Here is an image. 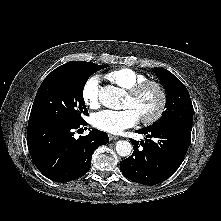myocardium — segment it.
Instances as JSON below:
<instances>
[{
	"mask_svg": "<svg viewBox=\"0 0 221 221\" xmlns=\"http://www.w3.org/2000/svg\"><path fill=\"white\" fill-rule=\"evenodd\" d=\"M154 88L159 95V103L154 113L140 117L144 124H152L158 121L164 114L167 106V92L162 83L155 80H145L128 90V96L133 99L141 96L147 89Z\"/></svg>",
	"mask_w": 221,
	"mask_h": 221,
	"instance_id": "f54148a6",
	"label": "myocardium"
}]
</instances>
